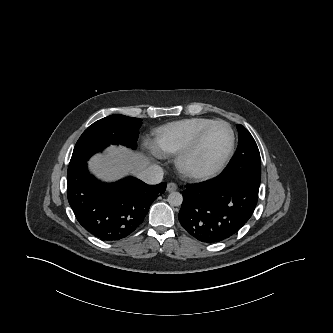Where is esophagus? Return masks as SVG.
Listing matches in <instances>:
<instances>
[{
	"label": "esophagus",
	"instance_id": "esophagus-1",
	"mask_svg": "<svg viewBox=\"0 0 333 333\" xmlns=\"http://www.w3.org/2000/svg\"><path fill=\"white\" fill-rule=\"evenodd\" d=\"M177 189V185L175 183H168L167 184V191L168 192H172L175 191Z\"/></svg>",
	"mask_w": 333,
	"mask_h": 333
}]
</instances>
